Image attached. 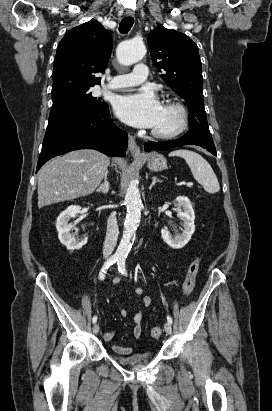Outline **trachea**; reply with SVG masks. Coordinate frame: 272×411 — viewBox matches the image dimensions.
<instances>
[{
	"instance_id": "1",
	"label": "trachea",
	"mask_w": 272,
	"mask_h": 411,
	"mask_svg": "<svg viewBox=\"0 0 272 411\" xmlns=\"http://www.w3.org/2000/svg\"><path fill=\"white\" fill-rule=\"evenodd\" d=\"M134 18L132 17H125L119 25V31L122 34H126L130 31L131 27L133 26Z\"/></svg>"
}]
</instances>
